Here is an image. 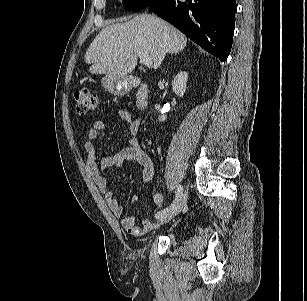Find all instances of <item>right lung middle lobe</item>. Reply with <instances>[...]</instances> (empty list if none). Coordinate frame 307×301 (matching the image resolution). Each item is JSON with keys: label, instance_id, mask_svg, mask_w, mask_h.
<instances>
[{"label": "right lung middle lobe", "instance_id": "obj_1", "mask_svg": "<svg viewBox=\"0 0 307 301\" xmlns=\"http://www.w3.org/2000/svg\"><path fill=\"white\" fill-rule=\"evenodd\" d=\"M157 1L158 0H123V3L127 9L136 12L151 6Z\"/></svg>", "mask_w": 307, "mask_h": 301}]
</instances>
